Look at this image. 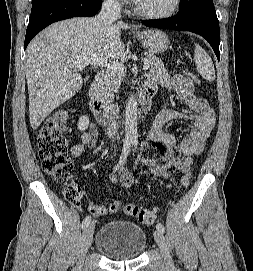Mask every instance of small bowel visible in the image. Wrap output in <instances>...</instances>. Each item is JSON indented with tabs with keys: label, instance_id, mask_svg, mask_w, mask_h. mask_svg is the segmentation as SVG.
<instances>
[{
	"label": "small bowel",
	"instance_id": "1",
	"mask_svg": "<svg viewBox=\"0 0 253 271\" xmlns=\"http://www.w3.org/2000/svg\"><path fill=\"white\" fill-rule=\"evenodd\" d=\"M195 78L184 75L170 76L159 74L150 76L145 85V91L155 94L159 88L173 89L178 99L186 105L185 111L171 108H163L155 117L149 135L144 141L146 148H155L161 151L160 158H146L144 165L155 175L167 177L174 170L188 173L193 163V156L201 154L208 142L212 130L216 124V114L209 107L205 99L199 98L194 93ZM177 118L188 119L193 123L180 144L174 134L163 131V126ZM98 130L94 125L79 135L80 142L70 147V153L74 157L83 154L86 147L95 148L97 145ZM114 185L129 188L138 183V178L121 166L114 170L110 176ZM89 210L94 216H102L108 213L104 206L93 202L89 204Z\"/></svg>",
	"mask_w": 253,
	"mask_h": 271
}]
</instances>
